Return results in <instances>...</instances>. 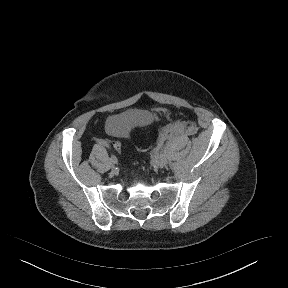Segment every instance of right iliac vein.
<instances>
[{"mask_svg":"<svg viewBox=\"0 0 288 288\" xmlns=\"http://www.w3.org/2000/svg\"><path fill=\"white\" fill-rule=\"evenodd\" d=\"M110 167H111V168H114V167H115V163H114V162H111V163H110Z\"/></svg>","mask_w":288,"mask_h":288,"instance_id":"63e3f726","label":"right iliac vein"}]
</instances>
